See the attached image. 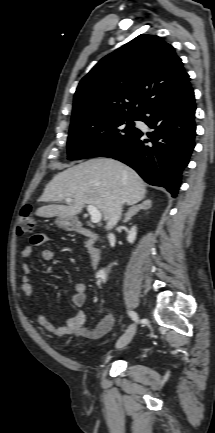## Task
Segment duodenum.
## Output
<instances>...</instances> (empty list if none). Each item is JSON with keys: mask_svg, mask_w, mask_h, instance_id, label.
<instances>
[{"mask_svg": "<svg viewBox=\"0 0 215 433\" xmlns=\"http://www.w3.org/2000/svg\"><path fill=\"white\" fill-rule=\"evenodd\" d=\"M69 228L72 231L90 239V263L93 268H97L101 261L102 255L100 250L95 247L94 242L99 238V235L95 231L85 227L79 220H71L69 223Z\"/></svg>", "mask_w": 215, "mask_h": 433, "instance_id": "410a0bca", "label": "duodenum"}]
</instances>
